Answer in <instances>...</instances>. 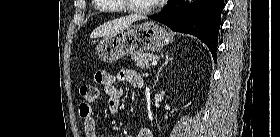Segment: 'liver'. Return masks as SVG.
I'll use <instances>...</instances> for the list:
<instances>
[{
  "label": "liver",
  "mask_w": 280,
  "mask_h": 137,
  "mask_svg": "<svg viewBox=\"0 0 280 137\" xmlns=\"http://www.w3.org/2000/svg\"><path fill=\"white\" fill-rule=\"evenodd\" d=\"M144 19L143 16L139 15H128L125 17H121L118 19H114L112 21H108L99 27H97L93 32L91 33V38H97V37H109L120 30L130 26L132 23L138 20Z\"/></svg>",
  "instance_id": "liver-1"
}]
</instances>
